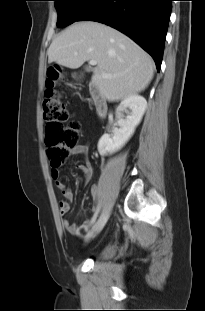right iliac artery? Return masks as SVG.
<instances>
[{
	"label": "right iliac artery",
	"instance_id": "obj_1",
	"mask_svg": "<svg viewBox=\"0 0 205 311\" xmlns=\"http://www.w3.org/2000/svg\"><path fill=\"white\" fill-rule=\"evenodd\" d=\"M97 216H98V208H97V210L95 211V214L93 215V218H92V223H94V222H95V220H96Z\"/></svg>",
	"mask_w": 205,
	"mask_h": 311
}]
</instances>
